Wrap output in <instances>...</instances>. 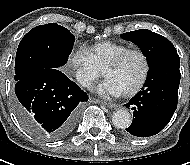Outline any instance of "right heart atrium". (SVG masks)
<instances>
[{
	"mask_svg": "<svg viewBox=\"0 0 190 165\" xmlns=\"http://www.w3.org/2000/svg\"><path fill=\"white\" fill-rule=\"evenodd\" d=\"M68 65L78 83L85 88H91L102 74L101 69L85 47H80L71 52Z\"/></svg>",
	"mask_w": 190,
	"mask_h": 165,
	"instance_id": "d8ad5b80",
	"label": "right heart atrium"
}]
</instances>
